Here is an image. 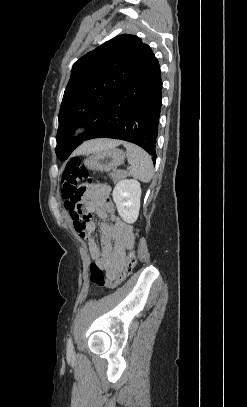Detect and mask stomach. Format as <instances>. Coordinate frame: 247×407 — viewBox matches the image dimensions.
I'll return each mask as SVG.
<instances>
[{"label":"stomach","instance_id":"1","mask_svg":"<svg viewBox=\"0 0 247 407\" xmlns=\"http://www.w3.org/2000/svg\"><path fill=\"white\" fill-rule=\"evenodd\" d=\"M124 159L125 152L114 147L88 154L83 163L89 170L109 172L121 165Z\"/></svg>","mask_w":247,"mask_h":407}]
</instances>
